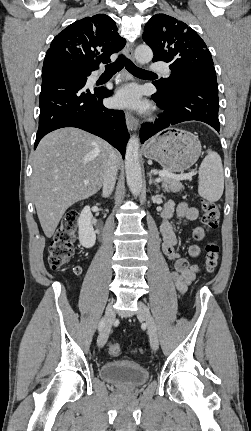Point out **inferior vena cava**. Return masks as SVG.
I'll return each mask as SVG.
<instances>
[{
  "mask_svg": "<svg viewBox=\"0 0 251 431\" xmlns=\"http://www.w3.org/2000/svg\"><path fill=\"white\" fill-rule=\"evenodd\" d=\"M118 172V165L115 158L114 152H112L109 156L106 171L103 179V196L108 197L111 195L115 183Z\"/></svg>",
  "mask_w": 251,
  "mask_h": 431,
  "instance_id": "obj_1",
  "label": "inferior vena cava"
}]
</instances>
